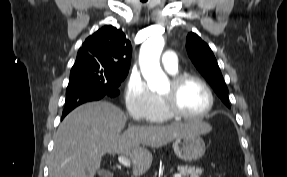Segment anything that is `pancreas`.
<instances>
[{
	"mask_svg": "<svg viewBox=\"0 0 287 177\" xmlns=\"http://www.w3.org/2000/svg\"><path fill=\"white\" fill-rule=\"evenodd\" d=\"M178 171L183 177H200L203 172V169L188 166H179Z\"/></svg>",
	"mask_w": 287,
	"mask_h": 177,
	"instance_id": "pancreas-1",
	"label": "pancreas"
}]
</instances>
